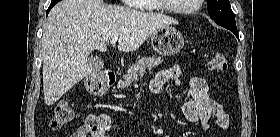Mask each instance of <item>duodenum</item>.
Segmentation results:
<instances>
[{"mask_svg":"<svg viewBox=\"0 0 280 137\" xmlns=\"http://www.w3.org/2000/svg\"><path fill=\"white\" fill-rule=\"evenodd\" d=\"M116 82H117V76L114 72L109 71L105 74L104 81H103L105 87L109 88L115 85Z\"/></svg>","mask_w":280,"mask_h":137,"instance_id":"obj_1","label":"duodenum"}]
</instances>
